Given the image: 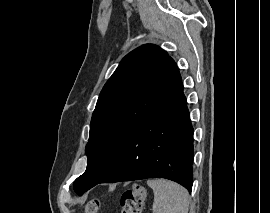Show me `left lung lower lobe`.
<instances>
[{"label": "left lung lower lobe", "instance_id": "1", "mask_svg": "<svg viewBox=\"0 0 270 213\" xmlns=\"http://www.w3.org/2000/svg\"><path fill=\"white\" fill-rule=\"evenodd\" d=\"M193 127L182 81L139 125L99 183L166 178L192 189Z\"/></svg>", "mask_w": 270, "mask_h": 213}]
</instances>
